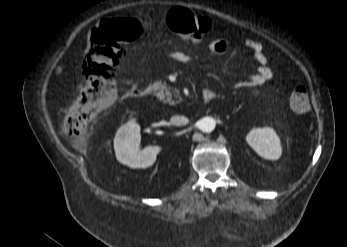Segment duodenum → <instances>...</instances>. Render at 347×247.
I'll return each instance as SVG.
<instances>
[{
  "mask_svg": "<svg viewBox=\"0 0 347 247\" xmlns=\"http://www.w3.org/2000/svg\"><path fill=\"white\" fill-rule=\"evenodd\" d=\"M150 93V90L148 88H131L128 91V95L131 97H146ZM215 97V93L211 90H204L202 93V101L207 103L210 102Z\"/></svg>",
  "mask_w": 347,
  "mask_h": 247,
  "instance_id": "duodenum-1",
  "label": "duodenum"
}]
</instances>
